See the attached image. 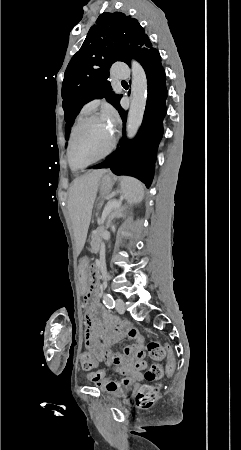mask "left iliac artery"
Here are the masks:
<instances>
[{
	"mask_svg": "<svg viewBox=\"0 0 241 450\" xmlns=\"http://www.w3.org/2000/svg\"><path fill=\"white\" fill-rule=\"evenodd\" d=\"M103 303L109 309H113L115 307V301L111 294L105 293L103 296Z\"/></svg>",
	"mask_w": 241,
	"mask_h": 450,
	"instance_id": "left-iliac-artery-1",
	"label": "left iliac artery"
}]
</instances>
